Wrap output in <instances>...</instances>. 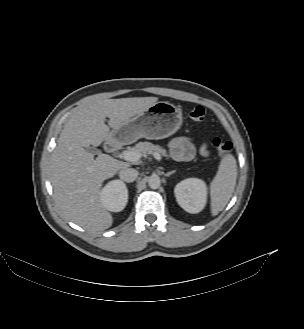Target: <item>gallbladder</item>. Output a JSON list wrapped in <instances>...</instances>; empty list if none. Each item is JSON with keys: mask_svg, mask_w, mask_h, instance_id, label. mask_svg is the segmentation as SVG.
<instances>
[{"mask_svg": "<svg viewBox=\"0 0 304 329\" xmlns=\"http://www.w3.org/2000/svg\"><path fill=\"white\" fill-rule=\"evenodd\" d=\"M86 150L92 154H99V150L94 147H87Z\"/></svg>", "mask_w": 304, "mask_h": 329, "instance_id": "obj_1", "label": "gallbladder"}]
</instances>
